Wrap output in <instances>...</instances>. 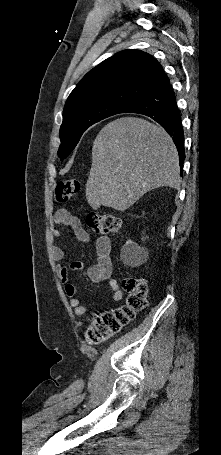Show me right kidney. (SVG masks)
Listing matches in <instances>:
<instances>
[{
  "label": "right kidney",
  "instance_id": "right-kidney-1",
  "mask_svg": "<svg viewBox=\"0 0 221 455\" xmlns=\"http://www.w3.org/2000/svg\"><path fill=\"white\" fill-rule=\"evenodd\" d=\"M146 255V249L131 240H128L121 249V259L129 266L137 265Z\"/></svg>",
  "mask_w": 221,
  "mask_h": 455
}]
</instances>
